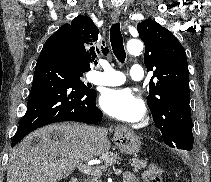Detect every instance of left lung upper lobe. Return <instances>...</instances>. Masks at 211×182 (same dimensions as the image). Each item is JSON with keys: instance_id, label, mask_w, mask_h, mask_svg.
<instances>
[{"instance_id": "5c2ea615", "label": "left lung upper lobe", "mask_w": 211, "mask_h": 182, "mask_svg": "<svg viewBox=\"0 0 211 182\" xmlns=\"http://www.w3.org/2000/svg\"><path fill=\"white\" fill-rule=\"evenodd\" d=\"M137 30L145 44V66L153 71L147 103L155 126L160 129L166 145L192 151L194 139L185 50L168 29L152 19L139 23Z\"/></svg>"}]
</instances>
